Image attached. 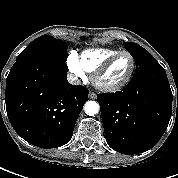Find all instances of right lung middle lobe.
Here are the masks:
<instances>
[{"mask_svg":"<svg viewBox=\"0 0 178 178\" xmlns=\"http://www.w3.org/2000/svg\"><path fill=\"white\" fill-rule=\"evenodd\" d=\"M67 43L49 35L33 40L16 58V62H62L67 58ZM15 62V63H16Z\"/></svg>","mask_w":178,"mask_h":178,"instance_id":"right-lung-middle-lobe-1","label":"right lung middle lobe"}]
</instances>
